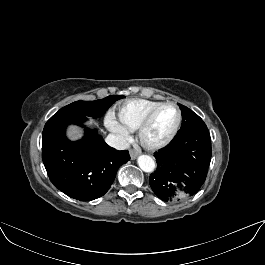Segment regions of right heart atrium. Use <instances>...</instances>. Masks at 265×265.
Here are the masks:
<instances>
[{
    "label": "right heart atrium",
    "mask_w": 265,
    "mask_h": 265,
    "mask_svg": "<svg viewBox=\"0 0 265 265\" xmlns=\"http://www.w3.org/2000/svg\"><path fill=\"white\" fill-rule=\"evenodd\" d=\"M107 127L116 133L122 140H127L128 131L112 115L106 117Z\"/></svg>",
    "instance_id": "1"
}]
</instances>
